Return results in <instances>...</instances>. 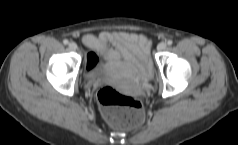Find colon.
I'll return each instance as SVG.
<instances>
[{"label":"colon","mask_w":238,"mask_h":145,"mask_svg":"<svg viewBox=\"0 0 238 145\" xmlns=\"http://www.w3.org/2000/svg\"><path fill=\"white\" fill-rule=\"evenodd\" d=\"M95 59L96 56H90L87 66ZM97 101L106 120L119 128H133L144 119L142 102L137 97L125 95L112 86H102L97 92Z\"/></svg>","instance_id":"5ec220e1"}]
</instances>
